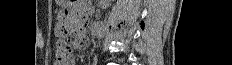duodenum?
I'll return each mask as SVG.
<instances>
[{"label": "duodenum", "instance_id": "1", "mask_svg": "<svg viewBox=\"0 0 232 65\" xmlns=\"http://www.w3.org/2000/svg\"><path fill=\"white\" fill-rule=\"evenodd\" d=\"M86 21L84 18H81L80 22H79V30H80V33H83L86 29Z\"/></svg>", "mask_w": 232, "mask_h": 65}]
</instances>
